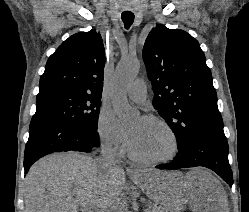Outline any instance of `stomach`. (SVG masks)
Masks as SVG:
<instances>
[{
  "mask_svg": "<svg viewBox=\"0 0 249 212\" xmlns=\"http://www.w3.org/2000/svg\"><path fill=\"white\" fill-rule=\"evenodd\" d=\"M142 188L154 204H185L190 193H186L189 179H183L179 170H146V175H139ZM161 210H188V205H161Z\"/></svg>",
  "mask_w": 249,
  "mask_h": 212,
  "instance_id": "obj_1",
  "label": "stomach"
}]
</instances>
